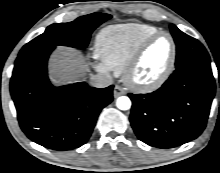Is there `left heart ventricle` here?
<instances>
[{"label": "left heart ventricle", "mask_w": 220, "mask_h": 173, "mask_svg": "<svg viewBox=\"0 0 220 173\" xmlns=\"http://www.w3.org/2000/svg\"><path fill=\"white\" fill-rule=\"evenodd\" d=\"M171 55V43L168 37L155 40L144 52L139 66L133 74L138 82H150L156 79L168 66Z\"/></svg>", "instance_id": "obj_1"}]
</instances>
